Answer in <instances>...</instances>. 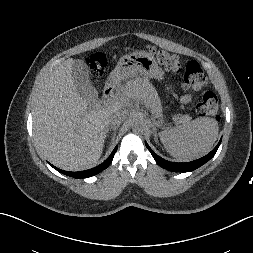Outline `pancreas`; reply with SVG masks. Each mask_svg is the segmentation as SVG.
Returning a JSON list of instances; mask_svg holds the SVG:
<instances>
[{
	"label": "pancreas",
	"mask_w": 253,
	"mask_h": 253,
	"mask_svg": "<svg viewBox=\"0 0 253 253\" xmlns=\"http://www.w3.org/2000/svg\"><path fill=\"white\" fill-rule=\"evenodd\" d=\"M140 94L146 100L147 104L152 108V111L158 116L162 117V106L160 98L154 87L148 82L143 80H134L127 82L119 92L121 98ZM191 118L188 115H183L179 118V122L189 123Z\"/></svg>",
	"instance_id": "cf45deb5"
}]
</instances>
